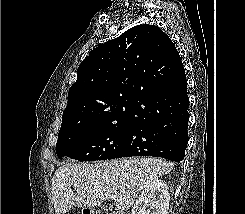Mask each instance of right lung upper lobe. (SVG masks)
I'll use <instances>...</instances> for the list:
<instances>
[{"label": "right lung upper lobe", "mask_w": 245, "mask_h": 214, "mask_svg": "<svg viewBox=\"0 0 245 214\" xmlns=\"http://www.w3.org/2000/svg\"><path fill=\"white\" fill-rule=\"evenodd\" d=\"M176 54L171 39L154 25L135 26L97 46L77 70L63 116L99 122L134 115L170 86L179 72Z\"/></svg>", "instance_id": "obj_1"}]
</instances>
